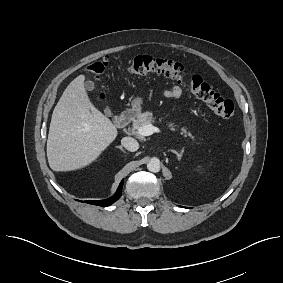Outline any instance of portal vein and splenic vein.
<instances>
[{
    "mask_svg": "<svg viewBox=\"0 0 283 283\" xmlns=\"http://www.w3.org/2000/svg\"><path fill=\"white\" fill-rule=\"evenodd\" d=\"M155 132H160V130L152 124H148L138 128V134L142 136H150Z\"/></svg>",
    "mask_w": 283,
    "mask_h": 283,
    "instance_id": "obj_1",
    "label": "portal vein and splenic vein"
}]
</instances>
